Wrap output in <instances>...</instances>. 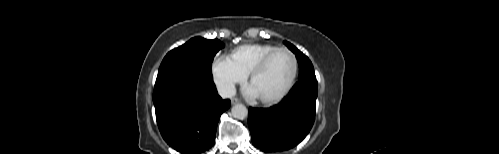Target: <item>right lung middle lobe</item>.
Masks as SVG:
<instances>
[{"instance_id":"1","label":"right lung middle lobe","mask_w":499,"mask_h":154,"mask_svg":"<svg viewBox=\"0 0 499 154\" xmlns=\"http://www.w3.org/2000/svg\"><path fill=\"white\" fill-rule=\"evenodd\" d=\"M223 47L224 44L218 39L192 38L165 56L157 80L175 72L204 70L211 73L214 56Z\"/></svg>"}]
</instances>
